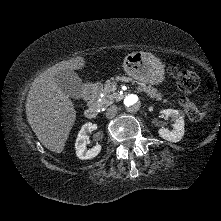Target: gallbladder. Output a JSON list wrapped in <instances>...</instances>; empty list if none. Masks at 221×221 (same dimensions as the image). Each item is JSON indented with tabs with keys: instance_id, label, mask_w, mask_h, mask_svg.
I'll return each instance as SVG.
<instances>
[{
	"instance_id": "gallbladder-1",
	"label": "gallbladder",
	"mask_w": 221,
	"mask_h": 221,
	"mask_svg": "<svg viewBox=\"0 0 221 221\" xmlns=\"http://www.w3.org/2000/svg\"><path fill=\"white\" fill-rule=\"evenodd\" d=\"M55 81L61 91L67 96L80 99L83 83L73 70H62L55 75Z\"/></svg>"
}]
</instances>
